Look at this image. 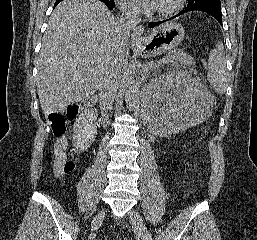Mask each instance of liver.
I'll return each mask as SVG.
<instances>
[{
	"label": "liver",
	"mask_w": 257,
	"mask_h": 240,
	"mask_svg": "<svg viewBox=\"0 0 257 240\" xmlns=\"http://www.w3.org/2000/svg\"><path fill=\"white\" fill-rule=\"evenodd\" d=\"M117 19L99 0H64L54 9L38 58L37 93L45 115L62 113L95 93L128 40L117 43Z\"/></svg>",
	"instance_id": "6515ba94"
}]
</instances>
